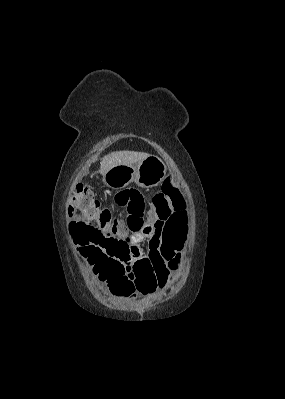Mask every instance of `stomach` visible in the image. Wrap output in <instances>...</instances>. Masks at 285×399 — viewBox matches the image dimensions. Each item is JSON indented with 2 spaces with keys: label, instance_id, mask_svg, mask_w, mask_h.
<instances>
[{
  "label": "stomach",
  "instance_id": "1",
  "mask_svg": "<svg viewBox=\"0 0 285 399\" xmlns=\"http://www.w3.org/2000/svg\"><path fill=\"white\" fill-rule=\"evenodd\" d=\"M166 171L167 167L159 157L149 155L138 164H121L109 169L102 180L112 189H123L131 182L142 188H151L165 179Z\"/></svg>",
  "mask_w": 285,
  "mask_h": 399
}]
</instances>
